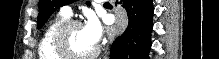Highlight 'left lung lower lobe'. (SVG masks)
Instances as JSON below:
<instances>
[{"label":"left lung lower lobe","mask_w":219,"mask_h":59,"mask_svg":"<svg viewBox=\"0 0 219 59\" xmlns=\"http://www.w3.org/2000/svg\"><path fill=\"white\" fill-rule=\"evenodd\" d=\"M129 24L111 46L110 59H149L151 47L152 0H125L122 5Z\"/></svg>","instance_id":"left-lung-lower-lobe-1"}]
</instances>
